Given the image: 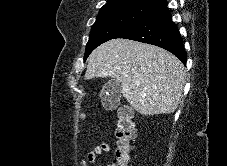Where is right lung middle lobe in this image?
Listing matches in <instances>:
<instances>
[{
    "instance_id": "right-lung-middle-lobe-1",
    "label": "right lung middle lobe",
    "mask_w": 227,
    "mask_h": 166,
    "mask_svg": "<svg viewBox=\"0 0 227 166\" xmlns=\"http://www.w3.org/2000/svg\"><path fill=\"white\" fill-rule=\"evenodd\" d=\"M158 7L141 4H120L102 8L92 26L84 60L100 44L117 38L122 33L154 13Z\"/></svg>"
}]
</instances>
